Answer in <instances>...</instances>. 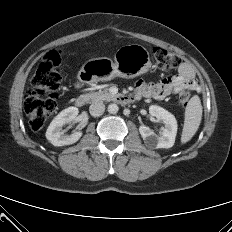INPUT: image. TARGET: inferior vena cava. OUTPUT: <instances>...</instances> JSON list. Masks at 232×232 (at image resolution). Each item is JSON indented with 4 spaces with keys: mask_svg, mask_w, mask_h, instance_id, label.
Instances as JSON below:
<instances>
[{
    "mask_svg": "<svg viewBox=\"0 0 232 232\" xmlns=\"http://www.w3.org/2000/svg\"><path fill=\"white\" fill-rule=\"evenodd\" d=\"M105 111V105L102 102L92 103L89 107V112L92 116H101Z\"/></svg>",
    "mask_w": 232,
    "mask_h": 232,
    "instance_id": "obj_1",
    "label": "inferior vena cava"
}]
</instances>
